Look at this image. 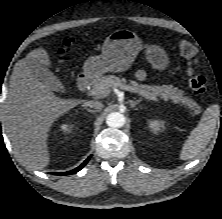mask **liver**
I'll list each match as a JSON object with an SVG mask.
<instances>
[{
  "instance_id": "6515ba94",
  "label": "liver",
  "mask_w": 222,
  "mask_h": 219,
  "mask_svg": "<svg viewBox=\"0 0 222 219\" xmlns=\"http://www.w3.org/2000/svg\"><path fill=\"white\" fill-rule=\"evenodd\" d=\"M36 64L51 66L47 50L36 48L15 64L4 105V125L19 160L40 170L50 161L47 138L51 125L82 101L57 97L34 74Z\"/></svg>"
}]
</instances>
